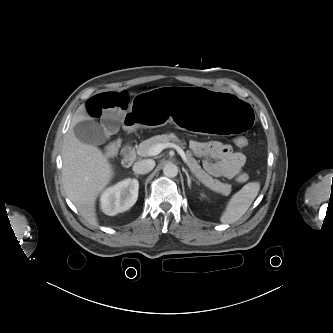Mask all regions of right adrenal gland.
Segmentation results:
<instances>
[{
  "mask_svg": "<svg viewBox=\"0 0 333 333\" xmlns=\"http://www.w3.org/2000/svg\"><path fill=\"white\" fill-rule=\"evenodd\" d=\"M134 175H135L136 177H138V175H137L136 173H134Z\"/></svg>",
  "mask_w": 333,
  "mask_h": 333,
  "instance_id": "obj_1",
  "label": "right adrenal gland"
}]
</instances>
